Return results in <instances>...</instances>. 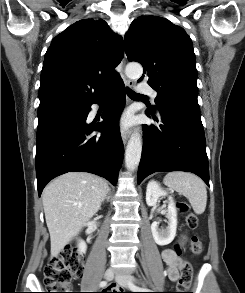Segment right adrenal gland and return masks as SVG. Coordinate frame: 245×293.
<instances>
[{
  "label": "right adrenal gland",
  "mask_w": 245,
  "mask_h": 293,
  "mask_svg": "<svg viewBox=\"0 0 245 293\" xmlns=\"http://www.w3.org/2000/svg\"><path fill=\"white\" fill-rule=\"evenodd\" d=\"M110 195H111V192H110V190H109V192H108V194H107V196H106V198H105V200H106L107 202H109Z\"/></svg>",
  "instance_id": "right-adrenal-gland-1"
}]
</instances>
